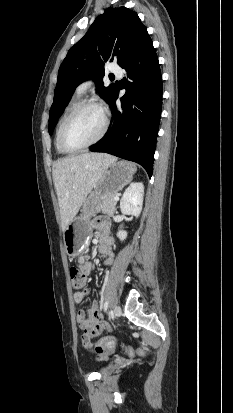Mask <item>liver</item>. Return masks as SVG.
<instances>
[{
    "label": "liver",
    "instance_id": "6515ba94",
    "mask_svg": "<svg viewBox=\"0 0 233 413\" xmlns=\"http://www.w3.org/2000/svg\"><path fill=\"white\" fill-rule=\"evenodd\" d=\"M115 161V157L103 153H84L55 161L53 180L63 231L76 216L105 168Z\"/></svg>",
    "mask_w": 233,
    "mask_h": 413
}]
</instances>
